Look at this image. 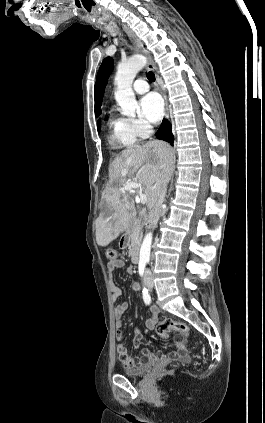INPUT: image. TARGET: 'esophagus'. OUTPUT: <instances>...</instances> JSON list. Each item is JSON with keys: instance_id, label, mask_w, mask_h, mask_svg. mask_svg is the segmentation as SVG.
I'll return each instance as SVG.
<instances>
[{"instance_id": "1", "label": "esophagus", "mask_w": 265, "mask_h": 423, "mask_svg": "<svg viewBox=\"0 0 265 423\" xmlns=\"http://www.w3.org/2000/svg\"><path fill=\"white\" fill-rule=\"evenodd\" d=\"M121 25H122V28L125 31V33L129 36V38L134 41L137 49L147 57V67H148V69L155 73L156 67H155L153 61L151 60L148 52L143 48V45L140 42V40L136 37V35L133 33V31L126 24H121ZM160 92H161L163 99H164V102H165V116L168 119L169 118V106H168L167 96L163 92L162 89H160Z\"/></svg>"}]
</instances>
